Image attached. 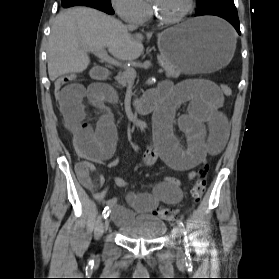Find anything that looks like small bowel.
<instances>
[{"mask_svg":"<svg viewBox=\"0 0 279 279\" xmlns=\"http://www.w3.org/2000/svg\"><path fill=\"white\" fill-rule=\"evenodd\" d=\"M151 96L159 101L153 117L155 142L144 152L142 163L150 167L157 160H162L175 170L189 171V179L193 180L195 168L204 163L208 155L219 154L228 140V121L220 110L223 104L221 90L209 80L194 79L177 86L164 82ZM116 98L111 87L97 83L88 87L78 83L68 84L58 97L65 127L72 135L78 156L83 159L75 166L76 176L97 201L104 199L105 190H99L104 182L103 176H93L95 164L107 163L110 169L117 166L118 159L113 158L117 132L112 116L107 113L92 128L86 122L84 101L104 108L114 103ZM182 104H188L187 112L178 117L179 129L187 141L185 147L179 144L172 131L176 109ZM113 181L119 187L128 185L120 177H113ZM181 185L179 179L165 177L150 193L129 194L128 201L135 212L150 213L160 202L179 203L183 196ZM105 203L112 209L118 224H125L133 218V211L120 206L118 198Z\"/></svg>","mask_w":279,"mask_h":279,"instance_id":"c3829d8e","label":"small bowel"}]
</instances>
